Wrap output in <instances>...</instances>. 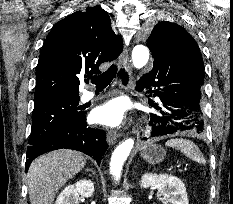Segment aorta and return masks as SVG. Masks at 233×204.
<instances>
[{
  "mask_svg": "<svg viewBox=\"0 0 233 204\" xmlns=\"http://www.w3.org/2000/svg\"><path fill=\"white\" fill-rule=\"evenodd\" d=\"M149 59V51L144 45H137L132 51V63L135 68H142ZM134 146L133 139H127L114 150L110 161V172L118 181L121 176L123 164Z\"/></svg>",
  "mask_w": 233,
  "mask_h": 204,
  "instance_id": "obj_1",
  "label": "aorta"
}]
</instances>
